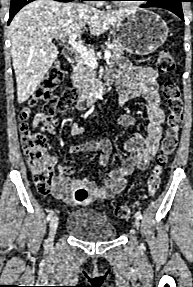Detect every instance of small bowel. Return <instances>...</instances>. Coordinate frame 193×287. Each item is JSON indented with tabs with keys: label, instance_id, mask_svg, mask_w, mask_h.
Masks as SVG:
<instances>
[{
	"label": "small bowel",
	"instance_id": "c3829d8e",
	"mask_svg": "<svg viewBox=\"0 0 193 287\" xmlns=\"http://www.w3.org/2000/svg\"><path fill=\"white\" fill-rule=\"evenodd\" d=\"M110 71L118 81L120 106L135 98H144L148 102L149 123L146 135L135 133L125 142L124 149L129 153V156L124 159L119 167L105 173L102 185H97L86 178L72 179L74 169L61 163L56 156H52L50 164L57 170L52 194L55 198L70 205L77 204L73 199V192L80 187L88 189V202L110 199L120 193L126 186L127 177L135 169L148 167L161 140L165 113L159 101L157 71L152 67L129 65L123 59L114 60L111 63ZM118 123L125 127H132L134 120L130 116L122 115ZM39 124H44L50 133L54 131V125L49 117L38 115L34 119L33 127L36 128ZM70 132L72 135L78 136L84 133V128L78 123H73ZM94 151L100 152L98 164L100 167H105L112 154V144L109 140L74 144L69 148V155Z\"/></svg>",
	"mask_w": 193,
	"mask_h": 287
}]
</instances>
